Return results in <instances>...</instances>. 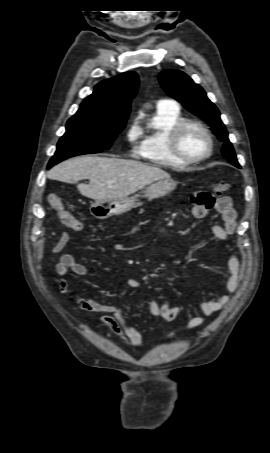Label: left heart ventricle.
Masks as SVG:
<instances>
[{
    "label": "left heart ventricle",
    "instance_id": "b2bd125f",
    "mask_svg": "<svg viewBox=\"0 0 270 453\" xmlns=\"http://www.w3.org/2000/svg\"><path fill=\"white\" fill-rule=\"evenodd\" d=\"M207 147V138L197 127H187L181 134L180 149L185 155L193 158L202 156Z\"/></svg>",
    "mask_w": 270,
    "mask_h": 453
}]
</instances>
